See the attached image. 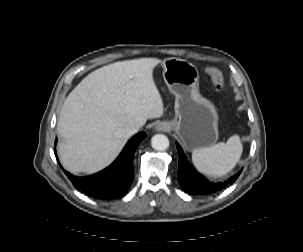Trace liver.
I'll use <instances>...</instances> for the list:
<instances>
[{"instance_id":"6515ba94","label":"liver","mask_w":303,"mask_h":252,"mask_svg":"<svg viewBox=\"0 0 303 252\" xmlns=\"http://www.w3.org/2000/svg\"><path fill=\"white\" fill-rule=\"evenodd\" d=\"M157 58L118 61L86 76L66 98L57 123L58 154L71 173L107 167L127 142L125 125L163 116L153 79Z\"/></svg>"}]
</instances>
